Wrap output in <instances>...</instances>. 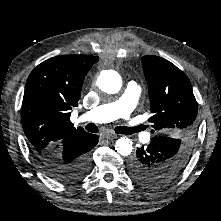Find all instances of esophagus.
Wrapping results in <instances>:
<instances>
[{
	"instance_id": "obj_1",
	"label": "esophagus",
	"mask_w": 221,
	"mask_h": 221,
	"mask_svg": "<svg viewBox=\"0 0 221 221\" xmlns=\"http://www.w3.org/2000/svg\"><path fill=\"white\" fill-rule=\"evenodd\" d=\"M117 137H118L117 134H113V133H108L104 135V138L108 140L116 139Z\"/></svg>"
}]
</instances>
